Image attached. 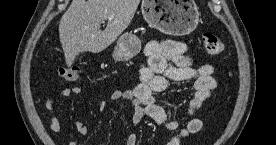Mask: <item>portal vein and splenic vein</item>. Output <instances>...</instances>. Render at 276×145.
Masks as SVG:
<instances>
[{
    "instance_id": "portal-vein-and-splenic-vein-1",
    "label": "portal vein and splenic vein",
    "mask_w": 276,
    "mask_h": 145,
    "mask_svg": "<svg viewBox=\"0 0 276 145\" xmlns=\"http://www.w3.org/2000/svg\"><path fill=\"white\" fill-rule=\"evenodd\" d=\"M108 19H109V20H112V19H113V16H110Z\"/></svg>"
}]
</instances>
